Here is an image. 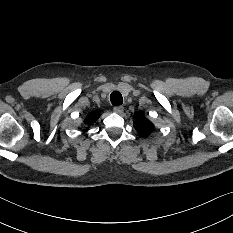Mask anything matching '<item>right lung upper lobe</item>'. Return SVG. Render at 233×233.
Instances as JSON below:
<instances>
[{"label":"right lung upper lobe","mask_w":233,"mask_h":233,"mask_svg":"<svg viewBox=\"0 0 233 233\" xmlns=\"http://www.w3.org/2000/svg\"><path fill=\"white\" fill-rule=\"evenodd\" d=\"M99 113L98 112H92V113H90L87 117H86V119H85V123L87 124V125H91L92 123H94L98 118H99Z\"/></svg>","instance_id":"1"}]
</instances>
